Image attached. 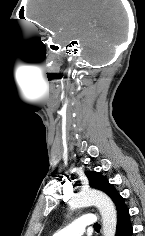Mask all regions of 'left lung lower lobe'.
Returning a JSON list of instances; mask_svg holds the SVG:
<instances>
[{"label": "left lung lower lobe", "mask_w": 145, "mask_h": 236, "mask_svg": "<svg viewBox=\"0 0 145 236\" xmlns=\"http://www.w3.org/2000/svg\"><path fill=\"white\" fill-rule=\"evenodd\" d=\"M132 225L127 208L117 212L116 236H132Z\"/></svg>", "instance_id": "1"}]
</instances>
